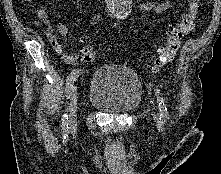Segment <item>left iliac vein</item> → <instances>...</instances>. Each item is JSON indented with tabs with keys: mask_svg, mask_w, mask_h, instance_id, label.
I'll return each mask as SVG.
<instances>
[{
	"mask_svg": "<svg viewBox=\"0 0 221 174\" xmlns=\"http://www.w3.org/2000/svg\"><path fill=\"white\" fill-rule=\"evenodd\" d=\"M153 119H154V121H157L158 115L156 113H153Z\"/></svg>",
	"mask_w": 221,
	"mask_h": 174,
	"instance_id": "1",
	"label": "left iliac vein"
}]
</instances>
